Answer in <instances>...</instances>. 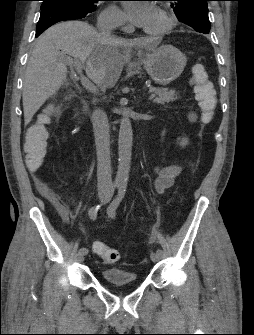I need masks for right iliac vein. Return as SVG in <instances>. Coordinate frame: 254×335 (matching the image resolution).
Here are the masks:
<instances>
[{
    "label": "right iliac vein",
    "instance_id": "1",
    "mask_svg": "<svg viewBox=\"0 0 254 335\" xmlns=\"http://www.w3.org/2000/svg\"><path fill=\"white\" fill-rule=\"evenodd\" d=\"M99 197H100V200H101V201H104V202H105V201L108 199V192H101V193L99 194ZM84 257H85V254H84V253H82V252H80V251L77 252V254H76V260H77L79 263H81V262L84 261Z\"/></svg>",
    "mask_w": 254,
    "mask_h": 335
}]
</instances>
